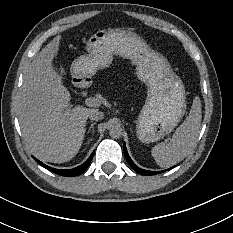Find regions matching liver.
Here are the masks:
<instances>
[{
	"label": "liver",
	"mask_w": 233,
	"mask_h": 233,
	"mask_svg": "<svg viewBox=\"0 0 233 233\" xmlns=\"http://www.w3.org/2000/svg\"><path fill=\"white\" fill-rule=\"evenodd\" d=\"M59 36L50 41L28 66L18 99L22 136L33 156L62 163L81 146L86 120L94 109L72 104V96L49 66Z\"/></svg>",
	"instance_id": "liver-1"
}]
</instances>
